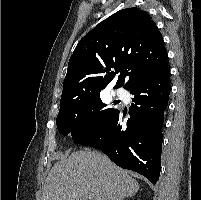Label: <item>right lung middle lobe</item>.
Returning <instances> with one entry per match:
<instances>
[{
	"mask_svg": "<svg viewBox=\"0 0 201 200\" xmlns=\"http://www.w3.org/2000/svg\"><path fill=\"white\" fill-rule=\"evenodd\" d=\"M107 108L100 99V92L61 102L56 119L58 131L71 133L76 140L100 129L116 112Z\"/></svg>",
	"mask_w": 201,
	"mask_h": 200,
	"instance_id": "dd1d6c3e",
	"label": "right lung middle lobe"
}]
</instances>
